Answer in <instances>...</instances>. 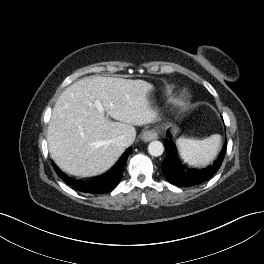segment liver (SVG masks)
I'll use <instances>...</instances> for the list:
<instances>
[{
	"mask_svg": "<svg viewBox=\"0 0 264 264\" xmlns=\"http://www.w3.org/2000/svg\"><path fill=\"white\" fill-rule=\"evenodd\" d=\"M154 86L144 80L114 77H85L67 87L55 103L47 141L54 162L74 176L88 177L105 172L136 137L134 126L158 120L148 100ZM100 100L101 114L94 106ZM108 116L116 121H110ZM124 135L128 146L116 142Z\"/></svg>",
	"mask_w": 264,
	"mask_h": 264,
	"instance_id": "obj_1",
	"label": "liver"
}]
</instances>
